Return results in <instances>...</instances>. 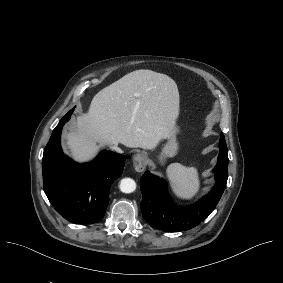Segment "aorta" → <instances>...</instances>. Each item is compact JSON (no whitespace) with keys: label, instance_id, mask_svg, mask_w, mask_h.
Returning a JSON list of instances; mask_svg holds the SVG:
<instances>
[{"label":"aorta","instance_id":"aorta-1","mask_svg":"<svg viewBox=\"0 0 283 283\" xmlns=\"http://www.w3.org/2000/svg\"><path fill=\"white\" fill-rule=\"evenodd\" d=\"M119 188L123 193H132L136 189V182L131 178H123Z\"/></svg>","mask_w":283,"mask_h":283}]
</instances>
